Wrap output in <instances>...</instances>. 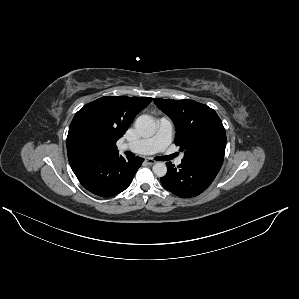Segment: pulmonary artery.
<instances>
[{
	"mask_svg": "<svg viewBox=\"0 0 299 299\" xmlns=\"http://www.w3.org/2000/svg\"><path fill=\"white\" fill-rule=\"evenodd\" d=\"M172 130V122L168 118L163 117L158 120L157 132L153 137L124 144L123 148L142 155L163 152L166 150L171 141ZM181 162V157L175 160L176 165L181 164Z\"/></svg>",
	"mask_w": 299,
	"mask_h": 299,
	"instance_id": "pulmonary-artery-1",
	"label": "pulmonary artery"
}]
</instances>
